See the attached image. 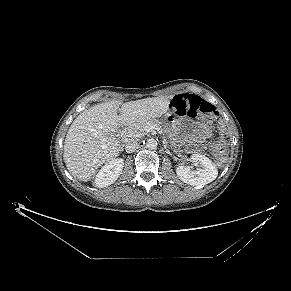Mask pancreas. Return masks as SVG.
I'll list each match as a JSON object with an SVG mask.
<instances>
[{"mask_svg": "<svg viewBox=\"0 0 291 291\" xmlns=\"http://www.w3.org/2000/svg\"><path fill=\"white\" fill-rule=\"evenodd\" d=\"M160 122L156 119L154 120H149V121H144L140 123H136L132 126H130L127 131L126 135L130 139H139L142 138L146 134L145 128L150 125V126H160Z\"/></svg>", "mask_w": 291, "mask_h": 291, "instance_id": "pancreas-1", "label": "pancreas"}]
</instances>
